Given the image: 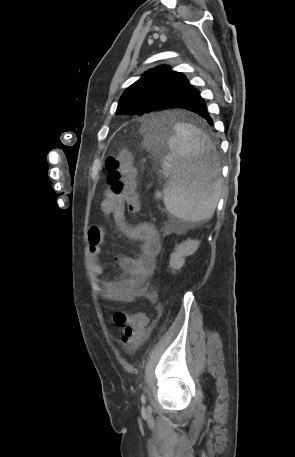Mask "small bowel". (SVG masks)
I'll return each mask as SVG.
<instances>
[{
  "label": "small bowel",
  "instance_id": "1",
  "mask_svg": "<svg viewBox=\"0 0 295 457\" xmlns=\"http://www.w3.org/2000/svg\"><path fill=\"white\" fill-rule=\"evenodd\" d=\"M100 210L103 216L113 217L121 230L131 239L140 243L139 254L134 257L117 256L116 260L123 271V277L113 282L105 279L104 266L101 262L102 245L105 233L100 226H92L88 233L90 265L98 279V291L101 298L107 302H135L146 298L153 302L156 293L148 288V278L154 271L156 257L161 251V242L156 228L151 223H140L130 226L125 221L124 204L108 189L101 202ZM114 309V307H110Z\"/></svg>",
  "mask_w": 295,
  "mask_h": 457
}]
</instances>
